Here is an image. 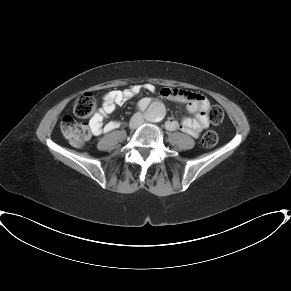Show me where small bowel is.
<instances>
[{"mask_svg":"<svg viewBox=\"0 0 291 291\" xmlns=\"http://www.w3.org/2000/svg\"><path fill=\"white\" fill-rule=\"evenodd\" d=\"M146 91L156 92L157 88L153 83L134 85L122 91H110L103 97L102 108L90 120V126L95 135L108 133L118 127V123L108 121L106 116L115 111L117 106L123 105L127 100L135 95ZM159 95L167 100H177L188 103V112L193 118H184L178 122L174 117L166 120L165 126L169 131L181 130L186 134L197 138L205 129L209 127L210 121L207 115L209 107L208 99L200 94L172 88H162L158 91ZM150 101L143 99L139 102L138 107L145 109L149 106Z\"/></svg>","mask_w":291,"mask_h":291,"instance_id":"1","label":"small bowel"}]
</instances>
